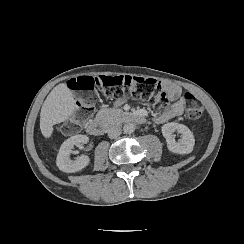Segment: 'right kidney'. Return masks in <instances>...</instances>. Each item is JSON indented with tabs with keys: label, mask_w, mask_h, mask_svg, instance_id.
I'll use <instances>...</instances> for the list:
<instances>
[{
	"label": "right kidney",
	"mask_w": 244,
	"mask_h": 244,
	"mask_svg": "<svg viewBox=\"0 0 244 244\" xmlns=\"http://www.w3.org/2000/svg\"><path fill=\"white\" fill-rule=\"evenodd\" d=\"M87 137L83 135H75L67 139L60 148L57 156L56 164L60 171L64 173H75L83 170L90 164V158L88 156L77 157L75 161L70 159L72 149L74 146H78L81 143H87Z\"/></svg>",
	"instance_id": "ca27d5eb"
}]
</instances>
